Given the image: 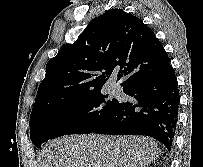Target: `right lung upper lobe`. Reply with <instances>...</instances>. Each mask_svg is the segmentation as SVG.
I'll return each mask as SVG.
<instances>
[{"label":"right lung upper lobe","mask_w":203,"mask_h":167,"mask_svg":"<svg viewBox=\"0 0 203 167\" xmlns=\"http://www.w3.org/2000/svg\"><path fill=\"white\" fill-rule=\"evenodd\" d=\"M169 62L164 47L141 19L121 9L108 10L48 61L32 111L55 99L99 91L116 72L125 90L164 71Z\"/></svg>","instance_id":"obj_1"}]
</instances>
